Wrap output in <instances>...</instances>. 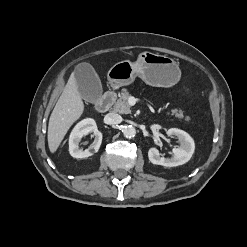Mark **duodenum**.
<instances>
[{
	"label": "duodenum",
	"instance_id": "duodenum-1",
	"mask_svg": "<svg viewBox=\"0 0 247 247\" xmlns=\"http://www.w3.org/2000/svg\"><path fill=\"white\" fill-rule=\"evenodd\" d=\"M115 100V93L113 91H107L102 97L96 102L95 110L103 113L110 109Z\"/></svg>",
	"mask_w": 247,
	"mask_h": 247
}]
</instances>
